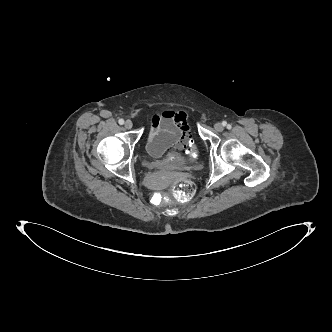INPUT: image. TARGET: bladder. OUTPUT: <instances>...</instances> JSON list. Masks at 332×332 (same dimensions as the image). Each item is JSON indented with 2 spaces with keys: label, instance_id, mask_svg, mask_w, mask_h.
Segmentation results:
<instances>
[{
  "label": "bladder",
  "instance_id": "1",
  "mask_svg": "<svg viewBox=\"0 0 332 332\" xmlns=\"http://www.w3.org/2000/svg\"><path fill=\"white\" fill-rule=\"evenodd\" d=\"M146 167H197L198 162L187 161L180 153L164 147L157 153H153L149 145H146V155L142 160Z\"/></svg>",
  "mask_w": 332,
  "mask_h": 332
}]
</instances>
